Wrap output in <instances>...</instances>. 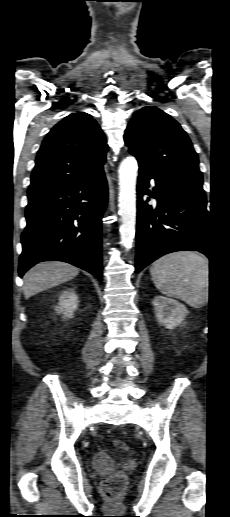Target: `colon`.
Returning <instances> with one entry per match:
<instances>
[{
	"instance_id": "colon-1",
	"label": "colon",
	"mask_w": 230,
	"mask_h": 517,
	"mask_svg": "<svg viewBox=\"0 0 230 517\" xmlns=\"http://www.w3.org/2000/svg\"><path fill=\"white\" fill-rule=\"evenodd\" d=\"M113 445L118 450H127L128 445L122 439H115ZM126 484V476L123 473H115L105 479L103 483L104 496L112 501L118 500Z\"/></svg>"
}]
</instances>
